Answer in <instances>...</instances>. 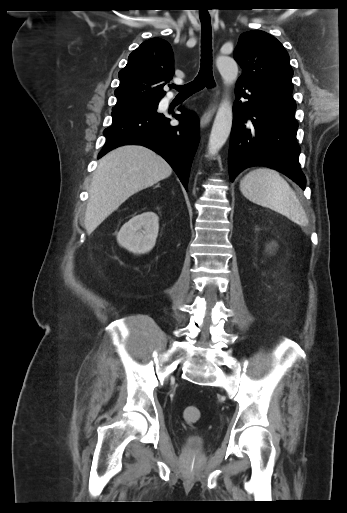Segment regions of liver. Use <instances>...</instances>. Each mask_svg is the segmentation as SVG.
<instances>
[{"instance_id":"obj_1","label":"liver","mask_w":347,"mask_h":513,"mask_svg":"<svg viewBox=\"0 0 347 513\" xmlns=\"http://www.w3.org/2000/svg\"><path fill=\"white\" fill-rule=\"evenodd\" d=\"M172 173L158 154L140 145L118 147L103 156L94 172L85 215V229L92 233L130 196Z\"/></svg>"}]
</instances>
